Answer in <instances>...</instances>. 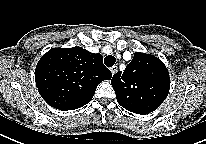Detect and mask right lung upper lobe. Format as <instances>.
<instances>
[{"label": "right lung upper lobe", "instance_id": "right-lung-upper-lobe-1", "mask_svg": "<svg viewBox=\"0 0 206 144\" xmlns=\"http://www.w3.org/2000/svg\"><path fill=\"white\" fill-rule=\"evenodd\" d=\"M111 77L102 55L81 47L51 49L39 60L35 70L40 95L50 106L60 110L86 105L98 84Z\"/></svg>", "mask_w": 206, "mask_h": 144}]
</instances>
